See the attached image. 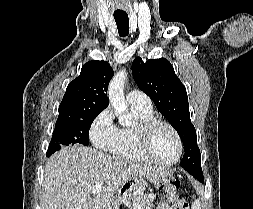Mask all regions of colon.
<instances>
[{"label":"colon","instance_id":"colon-1","mask_svg":"<svg viewBox=\"0 0 253 209\" xmlns=\"http://www.w3.org/2000/svg\"><path fill=\"white\" fill-rule=\"evenodd\" d=\"M165 183H167L166 191L174 190L179 186V177H171ZM176 209H189V203L185 199H180L175 204Z\"/></svg>","mask_w":253,"mask_h":209}]
</instances>
